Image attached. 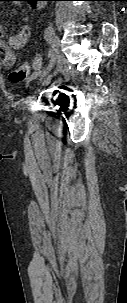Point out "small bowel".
<instances>
[{"mask_svg": "<svg viewBox=\"0 0 127 303\" xmlns=\"http://www.w3.org/2000/svg\"><path fill=\"white\" fill-rule=\"evenodd\" d=\"M30 36V30L27 26H23L19 32L4 39V30L0 25V53L2 54V66L4 68H12L17 61L16 50L26 45ZM39 70V69H38Z\"/></svg>", "mask_w": 127, "mask_h": 303, "instance_id": "obj_1", "label": "small bowel"}]
</instances>
